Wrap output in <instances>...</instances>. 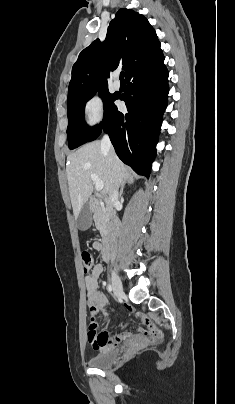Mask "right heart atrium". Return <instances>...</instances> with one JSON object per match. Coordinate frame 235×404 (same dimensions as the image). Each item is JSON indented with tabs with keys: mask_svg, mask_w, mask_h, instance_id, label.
Returning a JSON list of instances; mask_svg holds the SVG:
<instances>
[{
	"mask_svg": "<svg viewBox=\"0 0 235 404\" xmlns=\"http://www.w3.org/2000/svg\"><path fill=\"white\" fill-rule=\"evenodd\" d=\"M84 119L88 126L100 124L105 116V102L99 94L90 96L83 107Z\"/></svg>",
	"mask_w": 235,
	"mask_h": 404,
	"instance_id": "right-heart-atrium-1",
	"label": "right heart atrium"
}]
</instances>
